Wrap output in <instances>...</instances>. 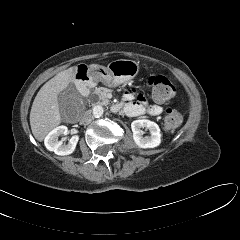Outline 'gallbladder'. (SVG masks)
<instances>
[{"mask_svg": "<svg viewBox=\"0 0 240 240\" xmlns=\"http://www.w3.org/2000/svg\"><path fill=\"white\" fill-rule=\"evenodd\" d=\"M79 97L80 95L73 84H69V86L64 91L59 93L58 103L61 114L65 115L68 110L74 108Z\"/></svg>", "mask_w": 240, "mask_h": 240, "instance_id": "obj_1", "label": "gallbladder"}]
</instances>
